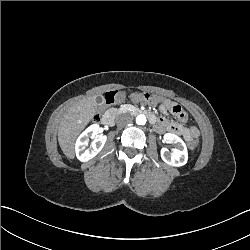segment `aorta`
Here are the masks:
<instances>
[{
	"mask_svg": "<svg viewBox=\"0 0 250 250\" xmlns=\"http://www.w3.org/2000/svg\"><path fill=\"white\" fill-rule=\"evenodd\" d=\"M146 121V116L144 114H140L136 117V123L138 125H145Z\"/></svg>",
	"mask_w": 250,
	"mask_h": 250,
	"instance_id": "762f6f07",
	"label": "aorta"
}]
</instances>
